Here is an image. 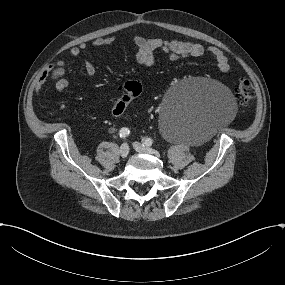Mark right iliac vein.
Here are the masks:
<instances>
[{"label": "right iliac vein", "instance_id": "1", "mask_svg": "<svg viewBox=\"0 0 285 285\" xmlns=\"http://www.w3.org/2000/svg\"><path fill=\"white\" fill-rule=\"evenodd\" d=\"M129 154V147L126 143L122 144L120 147V156L126 158Z\"/></svg>", "mask_w": 285, "mask_h": 285}]
</instances>
